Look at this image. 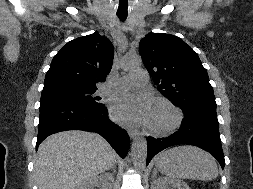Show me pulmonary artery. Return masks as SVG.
Returning a JSON list of instances; mask_svg holds the SVG:
<instances>
[{
    "label": "pulmonary artery",
    "instance_id": "e3ab8cb5",
    "mask_svg": "<svg viewBox=\"0 0 253 189\" xmlns=\"http://www.w3.org/2000/svg\"><path fill=\"white\" fill-rule=\"evenodd\" d=\"M138 84L145 86L148 83V77L144 72H136L128 76L120 78L116 83H106L99 91L100 94H107L111 89H124L130 84Z\"/></svg>",
    "mask_w": 253,
    "mask_h": 189
}]
</instances>
